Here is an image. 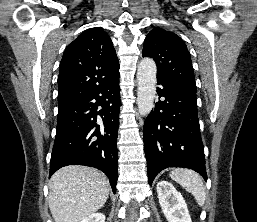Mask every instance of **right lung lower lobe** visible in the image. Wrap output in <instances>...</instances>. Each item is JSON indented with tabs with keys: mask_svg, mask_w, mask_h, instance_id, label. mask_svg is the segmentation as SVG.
I'll return each mask as SVG.
<instances>
[{
	"mask_svg": "<svg viewBox=\"0 0 257 222\" xmlns=\"http://www.w3.org/2000/svg\"><path fill=\"white\" fill-rule=\"evenodd\" d=\"M119 76L118 72L94 92L58 109L50 176L67 165L94 167L107 175L116 193Z\"/></svg>",
	"mask_w": 257,
	"mask_h": 222,
	"instance_id": "right-lung-lower-lobe-1",
	"label": "right lung lower lobe"
}]
</instances>
